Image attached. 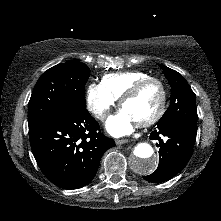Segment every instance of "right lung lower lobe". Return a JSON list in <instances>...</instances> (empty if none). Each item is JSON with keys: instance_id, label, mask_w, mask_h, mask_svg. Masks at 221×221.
<instances>
[{"instance_id": "98d812e1", "label": "right lung lower lobe", "mask_w": 221, "mask_h": 221, "mask_svg": "<svg viewBox=\"0 0 221 221\" xmlns=\"http://www.w3.org/2000/svg\"><path fill=\"white\" fill-rule=\"evenodd\" d=\"M99 129L82 106H72L29 128L31 149L44 175L64 189L87 185L96 175L103 153L115 146Z\"/></svg>"}]
</instances>
